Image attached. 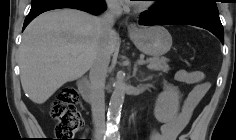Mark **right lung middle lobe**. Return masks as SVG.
I'll return each mask as SVG.
<instances>
[{
    "mask_svg": "<svg viewBox=\"0 0 236 140\" xmlns=\"http://www.w3.org/2000/svg\"><path fill=\"white\" fill-rule=\"evenodd\" d=\"M42 1H45V0H32V4L42 2ZM84 1L89 2L93 5H100L101 4V0H84Z\"/></svg>",
    "mask_w": 236,
    "mask_h": 140,
    "instance_id": "obj_1",
    "label": "right lung middle lobe"
}]
</instances>
